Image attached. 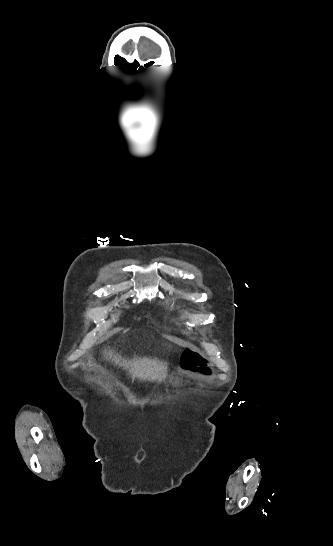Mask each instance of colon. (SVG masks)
<instances>
[{
  "mask_svg": "<svg viewBox=\"0 0 333 546\" xmlns=\"http://www.w3.org/2000/svg\"><path fill=\"white\" fill-rule=\"evenodd\" d=\"M183 365L187 370L209 374L207 359L198 351L188 349L183 353Z\"/></svg>",
  "mask_w": 333,
  "mask_h": 546,
  "instance_id": "5ec220e1",
  "label": "colon"
}]
</instances>
